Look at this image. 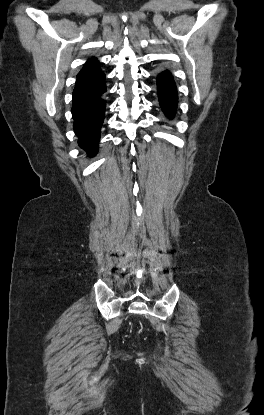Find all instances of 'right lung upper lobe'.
Masks as SVG:
<instances>
[{
	"label": "right lung upper lobe",
	"mask_w": 264,
	"mask_h": 415,
	"mask_svg": "<svg viewBox=\"0 0 264 415\" xmlns=\"http://www.w3.org/2000/svg\"><path fill=\"white\" fill-rule=\"evenodd\" d=\"M100 71L99 62L96 58H92L85 63L83 69L78 73L77 77L89 76Z\"/></svg>",
	"instance_id": "right-lung-upper-lobe-1"
}]
</instances>
